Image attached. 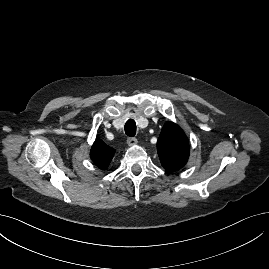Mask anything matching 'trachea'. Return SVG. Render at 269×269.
Masks as SVG:
<instances>
[{
  "label": "trachea",
  "mask_w": 269,
  "mask_h": 269,
  "mask_svg": "<svg viewBox=\"0 0 269 269\" xmlns=\"http://www.w3.org/2000/svg\"><path fill=\"white\" fill-rule=\"evenodd\" d=\"M125 133L129 137H133L136 134V123L133 119H129L124 127Z\"/></svg>",
  "instance_id": "1"
}]
</instances>
